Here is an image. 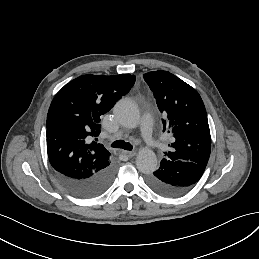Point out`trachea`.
<instances>
[{
	"label": "trachea",
	"mask_w": 259,
	"mask_h": 259,
	"mask_svg": "<svg viewBox=\"0 0 259 259\" xmlns=\"http://www.w3.org/2000/svg\"><path fill=\"white\" fill-rule=\"evenodd\" d=\"M111 146L113 148H122L124 150H132L133 149V146L128 143V142H125L124 140H117V141H114Z\"/></svg>",
	"instance_id": "trachea-1"
}]
</instances>
